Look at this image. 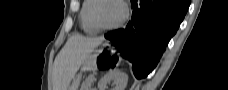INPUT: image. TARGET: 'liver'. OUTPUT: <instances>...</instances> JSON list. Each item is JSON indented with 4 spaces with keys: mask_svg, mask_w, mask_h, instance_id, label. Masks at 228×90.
Listing matches in <instances>:
<instances>
[{
    "mask_svg": "<svg viewBox=\"0 0 228 90\" xmlns=\"http://www.w3.org/2000/svg\"><path fill=\"white\" fill-rule=\"evenodd\" d=\"M102 37L71 36L55 58L53 66V90H68L71 80L85 59L102 42Z\"/></svg>",
    "mask_w": 228,
    "mask_h": 90,
    "instance_id": "obj_1",
    "label": "liver"
}]
</instances>
